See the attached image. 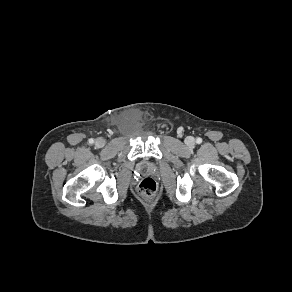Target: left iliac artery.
<instances>
[{
  "label": "left iliac artery",
  "mask_w": 292,
  "mask_h": 292,
  "mask_svg": "<svg viewBox=\"0 0 292 292\" xmlns=\"http://www.w3.org/2000/svg\"><path fill=\"white\" fill-rule=\"evenodd\" d=\"M196 143H198V144L202 143V139H201L200 137H198V138L196 139Z\"/></svg>",
  "instance_id": "44dca946"
}]
</instances>
